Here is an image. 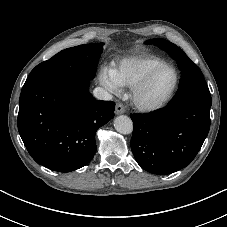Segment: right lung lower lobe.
<instances>
[{
    "mask_svg": "<svg viewBox=\"0 0 227 227\" xmlns=\"http://www.w3.org/2000/svg\"><path fill=\"white\" fill-rule=\"evenodd\" d=\"M88 89L89 80L68 78L22 90L18 131L38 164L70 172L92 159L95 133L114 117L115 103L95 100Z\"/></svg>",
    "mask_w": 227,
    "mask_h": 227,
    "instance_id": "98d812e1",
    "label": "right lung lower lobe"
}]
</instances>
